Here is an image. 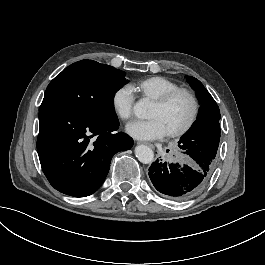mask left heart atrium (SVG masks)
I'll list each match as a JSON object with an SVG mask.
<instances>
[{
	"label": "left heart atrium",
	"instance_id": "obj_1",
	"mask_svg": "<svg viewBox=\"0 0 265 265\" xmlns=\"http://www.w3.org/2000/svg\"><path fill=\"white\" fill-rule=\"evenodd\" d=\"M126 131L137 140H154L167 134L161 122L156 118L133 120L127 125Z\"/></svg>",
	"mask_w": 265,
	"mask_h": 265
}]
</instances>
